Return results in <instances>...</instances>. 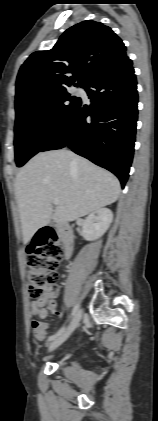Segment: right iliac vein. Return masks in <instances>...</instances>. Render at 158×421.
Segmentation results:
<instances>
[{
  "mask_svg": "<svg viewBox=\"0 0 158 421\" xmlns=\"http://www.w3.org/2000/svg\"><path fill=\"white\" fill-rule=\"evenodd\" d=\"M81 317H82V311L79 310L74 315V317L71 320L67 329L61 335H59L57 338H55L54 340H52L50 342V344L48 346L49 351L55 350L56 348H58L62 343H64L70 337V335L73 333V331L77 328V326H78V324L81 320Z\"/></svg>",
  "mask_w": 158,
  "mask_h": 421,
  "instance_id": "63e3f726",
  "label": "right iliac vein"
}]
</instances>
